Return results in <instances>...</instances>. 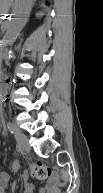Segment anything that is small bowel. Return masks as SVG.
Segmentation results:
<instances>
[{
	"mask_svg": "<svg viewBox=\"0 0 103 193\" xmlns=\"http://www.w3.org/2000/svg\"><path fill=\"white\" fill-rule=\"evenodd\" d=\"M23 183V193H60L61 182L59 177L54 174L50 179H48L44 186L35 190V186L30 182L27 172H24L22 175ZM0 186L3 192L10 189L11 193H16L17 184L15 182H10V175L6 172H2L0 175Z\"/></svg>",
	"mask_w": 103,
	"mask_h": 193,
	"instance_id": "1",
	"label": "small bowel"
}]
</instances>
